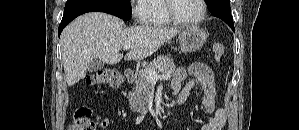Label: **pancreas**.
<instances>
[{
	"label": "pancreas",
	"mask_w": 299,
	"mask_h": 130,
	"mask_svg": "<svg viewBox=\"0 0 299 130\" xmlns=\"http://www.w3.org/2000/svg\"><path fill=\"white\" fill-rule=\"evenodd\" d=\"M146 69L157 73L172 74L175 71V64L169 54L158 56L137 75L135 85L128 95V101L130 109L140 115L147 113L146 105L148 104L151 90V82L144 73Z\"/></svg>",
	"instance_id": "1"
}]
</instances>
